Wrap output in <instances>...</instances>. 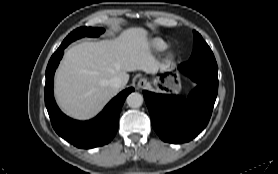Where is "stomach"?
<instances>
[{"label":"stomach","instance_id":"0dacf381","mask_svg":"<svg viewBox=\"0 0 278 174\" xmlns=\"http://www.w3.org/2000/svg\"><path fill=\"white\" fill-rule=\"evenodd\" d=\"M160 72L164 74L163 77H156L153 80V85L156 87L157 90L160 87L164 88V90L177 94L181 90V82L179 77H175L173 73H170L166 67L163 66L160 69Z\"/></svg>","mask_w":278,"mask_h":174}]
</instances>
